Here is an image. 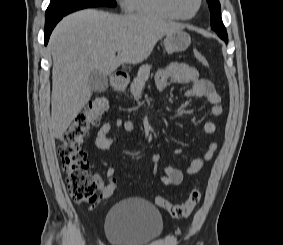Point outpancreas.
<instances>
[{"mask_svg": "<svg viewBox=\"0 0 283 245\" xmlns=\"http://www.w3.org/2000/svg\"><path fill=\"white\" fill-rule=\"evenodd\" d=\"M151 66L148 64L142 65L138 71L137 77L131 83V93L134 99H139L140 95L144 89L146 81L150 76Z\"/></svg>", "mask_w": 283, "mask_h": 245, "instance_id": "1", "label": "pancreas"}]
</instances>
